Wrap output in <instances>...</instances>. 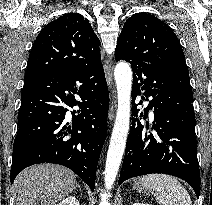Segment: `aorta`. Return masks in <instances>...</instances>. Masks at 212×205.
<instances>
[{
    "instance_id": "1",
    "label": "aorta",
    "mask_w": 212,
    "mask_h": 205,
    "mask_svg": "<svg viewBox=\"0 0 212 205\" xmlns=\"http://www.w3.org/2000/svg\"><path fill=\"white\" fill-rule=\"evenodd\" d=\"M118 108L104 171L105 187L114 184L124 154L130 125L132 70L128 63L119 62L114 69Z\"/></svg>"
}]
</instances>
